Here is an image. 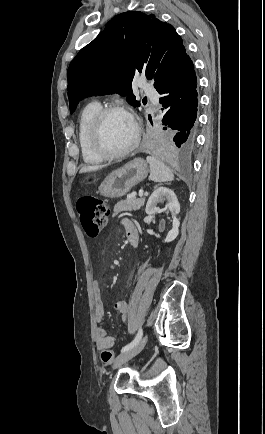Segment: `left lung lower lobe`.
Listing matches in <instances>:
<instances>
[{
  "label": "left lung lower lobe",
  "mask_w": 265,
  "mask_h": 434,
  "mask_svg": "<svg viewBox=\"0 0 265 434\" xmlns=\"http://www.w3.org/2000/svg\"><path fill=\"white\" fill-rule=\"evenodd\" d=\"M159 94L164 111V130L168 137L155 139L150 148L160 155L187 154L197 139V78L190 56L187 54Z\"/></svg>",
  "instance_id": "0a47b994"
}]
</instances>
